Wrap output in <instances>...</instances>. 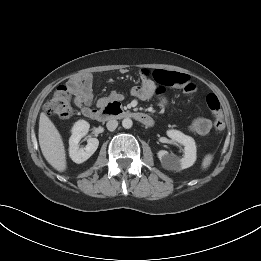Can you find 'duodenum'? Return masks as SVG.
I'll use <instances>...</instances> for the list:
<instances>
[{
    "mask_svg": "<svg viewBox=\"0 0 261 261\" xmlns=\"http://www.w3.org/2000/svg\"><path fill=\"white\" fill-rule=\"evenodd\" d=\"M87 117L96 120H104L112 117L133 118L147 126L153 124L152 119L147 114L126 110L117 101L110 102L101 109L89 111Z\"/></svg>",
    "mask_w": 261,
    "mask_h": 261,
    "instance_id": "410a0bca",
    "label": "duodenum"
}]
</instances>
